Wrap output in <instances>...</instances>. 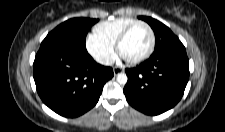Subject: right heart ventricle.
Masks as SVG:
<instances>
[{"mask_svg":"<svg viewBox=\"0 0 225 132\" xmlns=\"http://www.w3.org/2000/svg\"><path fill=\"white\" fill-rule=\"evenodd\" d=\"M136 22L133 18L121 17L113 20L103 21L95 25L93 32L99 40L114 46L119 35L129 25Z\"/></svg>","mask_w":225,"mask_h":132,"instance_id":"right-heart-ventricle-1","label":"right heart ventricle"}]
</instances>
